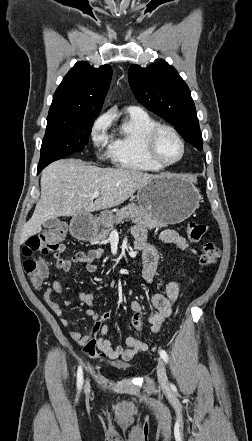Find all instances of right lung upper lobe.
<instances>
[{
  "mask_svg": "<svg viewBox=\"0 0 252 441\" xmlns=\"http://www.w3.org/2000/svg\"><path fill=\"white\" fill-rule=\"evenodd\" d=\"M111 76L109 65L93 68L85 61L77 62L57 88L49 113L98 116Z\"/></svg>",
  "mask_w": 252,
  "mask_h": 441,
  "instance_id": "right-lung-upper-lobe-1",
  "label": "right lung upper lobe"
}]
</instances>
